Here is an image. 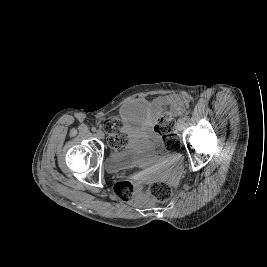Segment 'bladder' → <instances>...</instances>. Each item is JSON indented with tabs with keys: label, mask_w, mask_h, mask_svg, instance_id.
Segmentation results:
<instances>
[{
	"label": "bladder",
	"mask_w": 267,
	"mask_h": 267,
	"mask_svg": "<svg viewBox=\"0 0 267 267\" xmlns=\"http://www.w3.org/2000/svg\"><path fill=\"white\" fill-rule=\"evenodd\" d=\"M161 154L157 141L130 139L120 151L106 156L105 166L112 173L136 169L157 161Z\"/></svg>",
	"instance_id": "1"
}]
</instances>
